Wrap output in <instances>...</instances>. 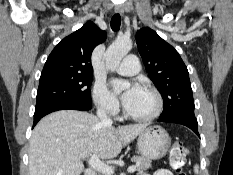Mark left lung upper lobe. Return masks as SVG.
Listing matches in <instances>:
<instances>
[{
  "instance_id": "left-lung-upper-lobe-1",
  "label": "left lung upper lobe",
  "mask_w": 233,
  "mask_h": 175,
  "mask_svg": "<svg viewBox=\"0 0 233 175\" xmlns=\"http://www.w3.org/2000/svg\"><path fill=\"white\" fill-rule=\"evenodd\" d=\"M136 42L146 71L163 97L160 118L194 115L189 73L179 53L147 27L137 31Z\"/></svg>"
}]
</instances>
